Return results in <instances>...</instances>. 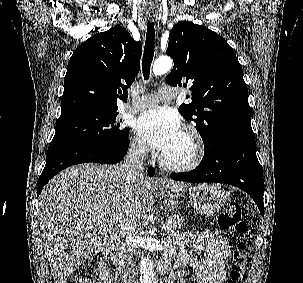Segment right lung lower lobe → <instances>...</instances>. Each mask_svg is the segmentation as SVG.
<instances>
[{
    "instance_id": "1",
    "label": "right lung lower lobe",
    "mask_w": 303,
    "mask_h": 283,
    "mask_svg": "<svg viewBox=\"0 0 303 283\" xmlns=\"http://www.w3.org/2000/svg\"><path fill=\"white\" fill-rule=\"evenodd\" d=\"M129 140L120 146H109L97 143L70 141L50 144L45 168L39 177L37 196L44 185L61 170L80 163H119L127 153ZM149 176L154 175V169L148 168Z\"/></svg>"
}]
</instances>
